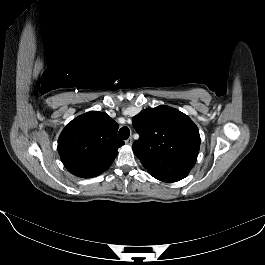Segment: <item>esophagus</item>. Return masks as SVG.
<instances>
[{
    "instance_id": "1",
    "label": "esophagus",
    "mask_w": 265,
    "mask_h": 265,
    "mask_svg": "<svg viewBox=\"0 0 265 265\" xmlns=\"http://www.w3.org/2000/svg\"><path fill=\"white\" fill-rule=\"evenodd\" d=\"M126 144L127 145H132V138L131 137H129L127 140H126Z\"/></svg>"
}]
</instances>
